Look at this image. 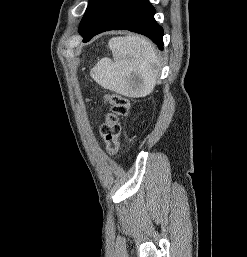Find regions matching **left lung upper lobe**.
<instances>
[{
	"label": "left lung upper lobe",
	"instance_id": "5c2ea615",
	"mask_svg": "<svg viewBox=\"0 0 247 257\" xmlns=\"http://www.w3.org/2000/svg\"><path fill=\"white\" fill-rule=\"evenodd\" d=\"M97 2V0H89V4H88V7L86 9V12L82 18V21L80 23V26H79V30L81 31V29L83 28V26L85 25L87 19L89 18V15L90 13L92 12V9L95 5V3Z\"/></svg>",
	"mask_w": 247,
	"mask_h": 257
}]
</instances>
